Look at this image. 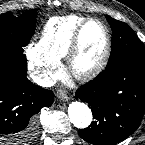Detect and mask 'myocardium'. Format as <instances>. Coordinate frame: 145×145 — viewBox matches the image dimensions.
Masks as SVG:
<instances>
[{"mask_svg": "<svg viewBox=\"0 0 145 145\" xmlns=\"http://www.w3.org/2000/svg\"><path fill=\"white\" fill-rule=\"evenodd\" d=\"M97 23L103 30L105 37V46L100 59L90 68L79 70L76 68V60L81 52V39L85 28L91 24ZM112 50L111 35L107 26L99 19L88 18L83 21L75 31L70 48L66 55V70L75 79L79 81H88L98 76L107 66Z\"/></svg>", "mask_w": 145, "mask_h": 145, "instance_id": "1", "label": "myocardium"}]
</instances>
